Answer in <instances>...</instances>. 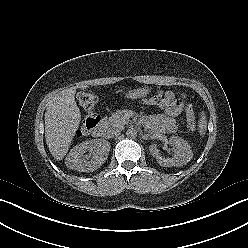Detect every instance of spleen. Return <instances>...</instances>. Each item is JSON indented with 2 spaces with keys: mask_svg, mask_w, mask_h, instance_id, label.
I'll list each match as a JSON object with an SVG mask.
<instances>
[{
  "mask_svg": "<svg viewBox=\"0 0 248 248\" xmlns=\"http://www.w3.org/2000/svg\"><path fill=\"white\" fill-rule=\"evenodd\" d=\"M206 128H207V121H206L205 114L202 112L201 118L198 121V129H199L200 135L203 136L205 134Z\"/></svg>",
  "mask_w": 248,
  "mask_h": 248,
  "instance_id": "spleen-1",
  "label": "spleen"
}]
</instances>
